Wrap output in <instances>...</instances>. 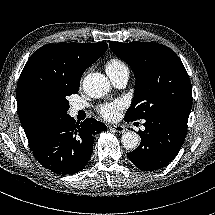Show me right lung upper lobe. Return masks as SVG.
<instances>
[{"instance_id":"right-lung-upper-lobe-1","label":"right lung upper lobe","mask_w":215,"mask_h":215,"mask_svg":"<svg viewBox=\"0 0 215 215\" xmlns=\"http://www.w3.org/2000/svg\"><path fill=\"white\" fill-rule=\"evenodd\" d=\"M108 49L106 43L47 44L39 48L24 66L16 90L20 122L30 148L54 124L42 108V101L79 89L84 71Z\"/></svg>"}]
</instances>
